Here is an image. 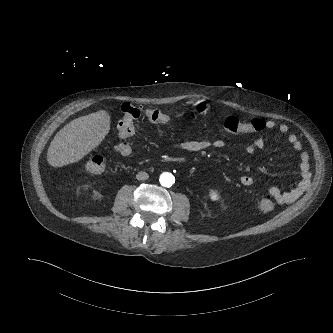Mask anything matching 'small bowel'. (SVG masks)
I'll use <instances>...</instances> for the list:
<instances>
[{
  "label": "small bowel",
  "mask_w": 333,
  "mask_h": 333,
  "mask_svg": "<svg viewBox=\"0 0 333 333\" xmlns=\"http://www.w3.org/2000/svg\"><path fill=\"white\" fill-rule=\"evenodd\" d=\"M266 129L277 130L280 134L286 136L288 143L291 147L299 153V167L301 171V181L299 184L290 191H282L278 187H270L267 191L269 197L273 198L279 205H286L300 197L304 190L305 181L309 175V156L306 152L302 151V143L298 137L289 132V127L286 124H278L273 120L266 122ZM226 130V129H225ZM227 131V130H226ZM120 143L117 145V152L121 156L132 157L136 155L138 148L136 144L128 142V138L120 137ZM229 141L224 139L217 140H191L172 143L171 148L181 152H198L208 148L223 149L229 146ZM265 146V138L259 135L251 142L245 143L242 149L247 154H254L261 151ZM241 185L249 187L254 184V178L251 175L244 174L239 177Z\"/></svg>",
  "instance_id": "c3829d8e"
}]
</instances>
